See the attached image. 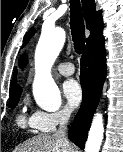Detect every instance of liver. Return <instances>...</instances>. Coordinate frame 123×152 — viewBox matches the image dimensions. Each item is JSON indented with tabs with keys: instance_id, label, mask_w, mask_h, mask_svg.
Wrapping results in <instances>:
<instances>
[{
	"instance_id": "6515ba94",
	"label": "liver",
	"mask_w": 123,
	"mask_h": 152,
	"mask_svg": "<svg viewBox=\"0 0 123 152\" xmlns=\"http://www.w3.org/2000/svg\"><path fill=\"white\" fill-rule=\"evenodd\" d=\"M14 152H75L69 142L54 135H38L22 143Z\"/></svg>"
}]
</instances>
